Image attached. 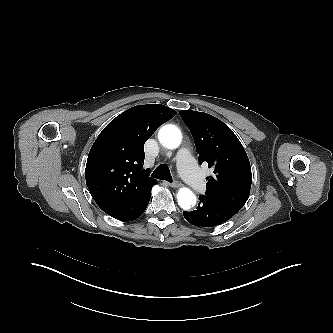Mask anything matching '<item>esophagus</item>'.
I'll return each instance as SVG.
<instances>
[{
	"label": "esophagus",
	"instance_id": "1",
	"mask_svg": "<svg viewBox=\"0 0 333 333\" xmlns=\"http://www.w3.org/2000/svg\"><path fill=\"white\" fill-rule=\"evenodd\" d=\"M169 185L173 188H179L181 187V183H179L178 181H175V182H172V183H169Z\"/></svg>",
	"mask_w": 333,
	"mask_h": 333
}]
</instances>
